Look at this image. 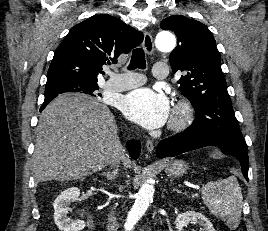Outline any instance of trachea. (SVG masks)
Returning a JSON list of instances; mask_svg holds the SVG:
<instances>
[{
  "mask_svg": "<svg viewBox=\"0 0 268 231\" xmlns=\"http://www.w3.org/2000/svg\"><path fill=\"white\" fill-rule=\"evenodd\" d=\"M136 68H139V69L146 68L145 54H144L143 49L141 48H136L132 52L129 69L134 70Z\"/></svg>",
  "mask_w": 268,
  "mask_h": 231,
  "instance_id": "1",
  "label": "trachea"
}]
</instances>
